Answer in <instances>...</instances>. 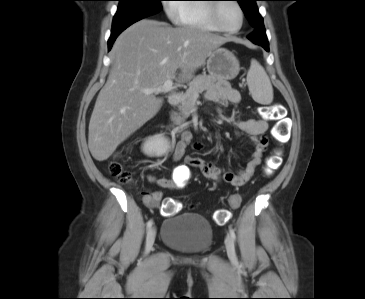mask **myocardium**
I'll return each mask as SVG.
<instances>
[{"label": "myocardium", "instance_id": "f54148a6", "mask_svg": "<svg viewBox=\"0 0 365 299\" xmlns=\"http://www.w3.org/2000/svg\"><path fill=\"white\" fill-rule=\"evenodd\" d=\"M215 1L216 2H213L210 5L209 17H210L211 22L215 26L216 30L219 32H222V33H226V34H234V33L239 32L243 28L245 19H246L245 11H244L242 5L237 0H231L232 3H234L240 11L241 23H240L239 27H237L235 29H228V28L221 26L219 23V11H220L222 5L224 4V2H221L223 0H215Z\"/></svg>", "mask_w": 365, "mask_h": 299}]
</instances>
